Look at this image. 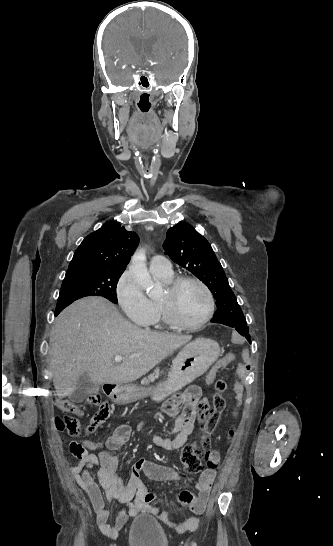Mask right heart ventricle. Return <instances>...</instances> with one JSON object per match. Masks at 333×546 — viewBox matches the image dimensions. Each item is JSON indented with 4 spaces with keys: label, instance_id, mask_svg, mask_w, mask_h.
I'll return each instance as SVG.
<instances>
[{
    "label": "right heart ventricle",
    "instance_id": "e07e8e85",
    "mask_svg": "<svg viewBox=\"0 0 333 546\" xmlns=\"http://www.w3.org/2000/svg\"><path fill=\"white\" fill-rule=\"evenodd\" d=\"M159 280H161L164 283H170L173 280V274L171 276H162L159 274H154ZM153 305V316L149 320V322L146 324L149 328L159 330L163 329L165 325V320L162 314V311L159 306V301H151Z\"/></svg>",
    "mask_w": 333,
    "mask_h": 546
}]
</instances>
